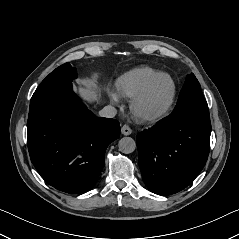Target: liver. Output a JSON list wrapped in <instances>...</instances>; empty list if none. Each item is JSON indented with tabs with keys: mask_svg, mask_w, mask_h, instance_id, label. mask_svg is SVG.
Here are the masks:
<instances>
[{
	"mask_svg": "<svg viewBox=\"0 0 239 239\" xmlns=\"http://www.w3.org/2000/svg\"><path fill=\"white\" fill-rule=\"evenodd\" d=\"M98 86L92 79H85L81 82L78 88L79 95L88 103L98 102Z\"/></svg>",
	"mask_w": 239,
	"mask_h": 239,
	"instance_id": "6515ba94",
	"label": "liver"
}]
</instances>
